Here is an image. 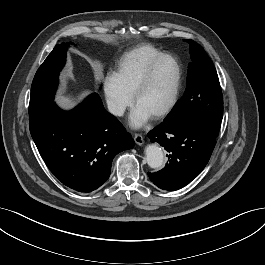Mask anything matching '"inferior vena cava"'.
Instances as JSON below:
<instances>
[{
    "instance_id": "obj_1",
    "label": "inferior vena cava",
    "mask_w": 265,
    "mask_h": 265,
    "mask_svg": "<svg viewBox=\"0 0 265 265\" xmlns=\"http://www.w3.org/2000/svg\"><path fill=\"white\" fill-rule=\"evenodd\" d=\"M108 110L111 114L116 116H122L125 108L113 101H107Z\"/></svg>"
}]
</instances>
